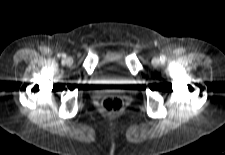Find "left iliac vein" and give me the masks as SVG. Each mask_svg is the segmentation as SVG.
<instances>
[{
	"instance_id": "4c4485c4",
	"label": "left iliac vein",
	"mask_w": 225,
	"mask_h": 155,
	"mask_svg": "<svg viewBox=\"0 0 225 155\" xmlns=\"http://www.w3.org/2000/svg\"><path fill=\"white\" fill-rule=\"evenodd\" d=\"M159 63H160L159 58H154V59H153V64H154V65H158Z\"/></svg>"
}]
</instances>
